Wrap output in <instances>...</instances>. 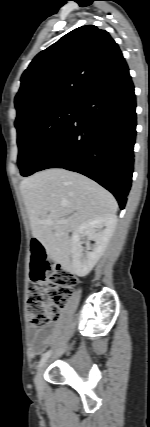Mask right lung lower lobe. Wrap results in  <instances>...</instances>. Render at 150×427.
<instances>
[{
	"label": "right lung lower lobe",
	"instance_id": "98d812e1",
	"mask_svg": "<svg viewBox=\"0 0 150 427\" xmlns=\"http://www.w3.org/2000/svg\"><path fill=\"white\" fill-rule=\"evenodd\" d=\"M135 108L127 68L77 106L73 121L36 171L64 168L86 175L113 193L124 209L133 173Z\"/></svg>",
	"mask_w": 150,
	"mask_h": 427
}]
</instances>
